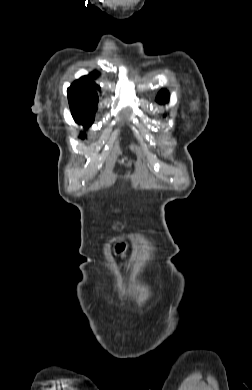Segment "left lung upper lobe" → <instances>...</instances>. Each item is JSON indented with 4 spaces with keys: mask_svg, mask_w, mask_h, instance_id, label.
Segmentation results:
<instances>
[{
    "mask_svg": "<svg viewBox=\"0 0 252 390\" xmlns=\"http://www.w3.org/2000/svg\"><path fill=\"white\" fill-rule=\"evenodd\" d=\"M156 100H157L159 103H161V104L168 102V100H169V94H168V92H167L166 90H161V91L158 93Z\"/></svg>",
    "mask_w": 252,
    "mask_h": 390,
    "instance_id": "1",
    "label": "left lung upper lobe"
}]
</instances>
